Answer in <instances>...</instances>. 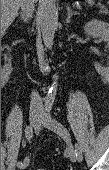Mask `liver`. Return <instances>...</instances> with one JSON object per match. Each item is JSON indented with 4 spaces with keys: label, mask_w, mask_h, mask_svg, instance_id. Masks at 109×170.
Segmentation results:
<instances>
[{
    "label": "liver",
    "mask_w": 109,
    "mask_h": 170,
    "mask_svg": "<svg viewBox=\"0 0 109 170\" xmlns=\"http://www.w3.org/2000/svg\"><path fill=\"white\" fill-rule=\"evenodd\" d=\"M21 0H1V31L4 33L18 15ZM37 0H35L36 2Z\"/></svg>",
    "instance_id": "6515ba94"
}]
</instances>
